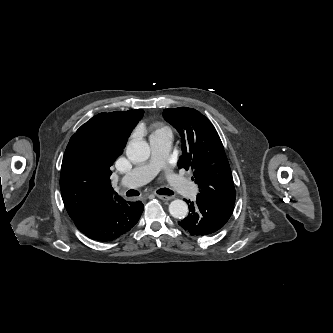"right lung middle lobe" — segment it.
<instances>
[{"label":"right lung middle lobe","mask_w":333,"mask_h":333,"mask_svg":"<svg viewBox=\"0 0 333 333\" xmlns=\"http://www.w3.org/2000/svg\"><path fill=\"white\" fill-rule=\"evenodd\" d=\"M100 131H101V132H100ZM102 131H103L102 128H98V129H97V132H98L99 134H100V133H103Z\"/></svg>","instance_id":"obj_1"}]
</instances>
